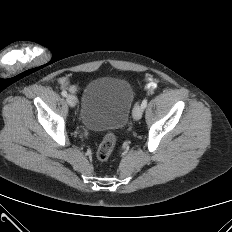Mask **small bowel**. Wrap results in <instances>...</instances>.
I'll list each match as a JSON object with an SVG mask.
<instances>
[{"instance_id": "small-bowel-1", "label": "small bowel", "mask_w": 232, "mask_h": 232, "mask_svg": "<svg viewBox=\"0 0 232 232\" xmlns=\"http://www.w3.org/2000/svg\"><path fill=\"white\" fill-rule=\"evenodd\" d=\"M61 84L64 86H68L70 90L72 91L76 90V88L74 86H70L69 83L65 79L61 80ZM156 87H157V81L155 79L149 78L146 82L145 88L149 92H152L156 89Z\"/></svg>"}]
</instances>
